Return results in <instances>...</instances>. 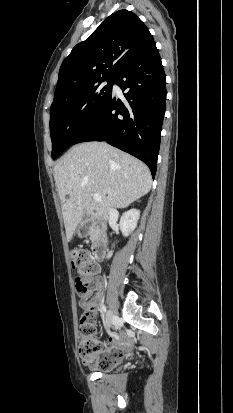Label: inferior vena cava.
Masks as SVG:
<instances>
[{"instance_id": "1", "label": "inferior vena cava", "mask_w": 233, "mask_h": 413, "mask_svg": "<svg viewBox=\"0 0 233 413\" xmlns=\"http://www.w3.org/2000/svg\"><path fill=\"white\" fill-rule=\"evenodd\" d=\"M115 212L116 210L113 207L109 208L108 213L104 215V218L107 219L108 216H111Z\"/></svg>"}]
</instances>
